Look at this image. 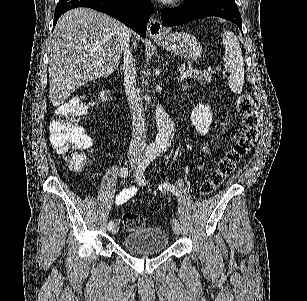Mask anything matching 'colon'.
Listing matches in <instances>:
<instances>
[{"label":"colon","mask_w":307,"mask_h":301,"mask_svg":"<svg viewBox=\"0 0 307 301\" xmlns=\"http://www.w3.org/2000/svg\"><path fill=\"white\" fill-rule=\"evenodd\" d=\"M236 107L242 122L240 134L201 183L199 191L202 196L211 195L223 184L258 139L259 117L252 96L241 94ZM88 109L89 103L83 98L69 99L57 108L50 126L52 147L60 153L74 151L69 155L68 162L75 170H80L88 163V158L81 151L92 145V138L81 124ZM122 221L127 231H137L144 226V219L135 213H125Z\"/></svg>","instance_id":"obj_1"}]
</instances>
